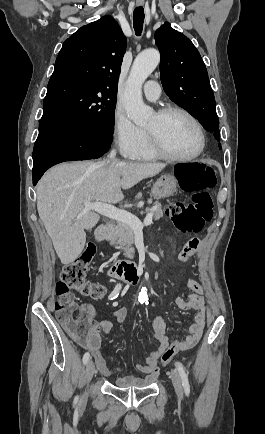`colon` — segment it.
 Masks as SVG:
<instances>
[{
    "label": "colon",
    "mask_w": 265,
    "mask_h": 434,
    "mask_svg": "<svg viewBox=\"0 0 265 434\" xmlns=\"http://www.w3.org/2000/svg\"><path fill=\"white\" fill-rule=\"evenodd\" d=\"M175 171L178 173V181H183L185 192L192 193L191 202L171 201L168 204L167 215L175 228L186 235L199 233L204 224L211 220V198L209 189L216 185V174L212 166L200 164L199 159L193 158L190 164H176ZM94 246L86 248L84 253L72 263L66 264L57 280L56 291L60 301L56 302L57 314L60 318V327H67L71 341L81 338L78 327L79 320L76 315H71L69 303L72 296L69 290H74L84 297L100 300L106 293L103 285L90 281L87 278L89 264L95 256ZM70 317V318H69ZM181 344L173 341L165 347V353L160 358L162 365H168L172 361L171 355L177 357L180 354Z\"/></svg>",
    "instance_id": "colon-1"
}]
</instances>
